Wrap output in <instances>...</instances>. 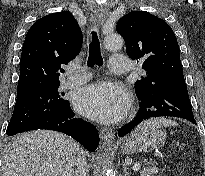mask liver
I'll return each mask as SVG.
<instances>
[{
  "mask_svg": "<svg viewBox=\"0 0 205 176\" xmlns=\"http://www.w3.org/2000/svg\"><path fill=\"white\" fill-rule=\"evenodd\" d=\"M80 145L67 135L36 130L17 135L6 149L3 176H73Z\"/></svg>",
  "mask_w": 205,
  "mask_h": 176,
  "instance_id": "6515ba94",
  "label": "liver"
}]
</instances>
